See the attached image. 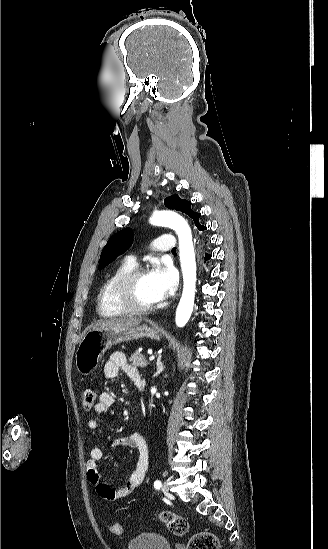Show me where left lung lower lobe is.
<instances>
[{"label": "left lung lower lobe", "mask_w": 328, "mask_h": 549, "mask_svg": "<svg viewBox=\"0 0 328 549\" xmlns=\"http://www.w3.org/2000/svg\"><path fill=\"white\" fill-rule=\"evenodd\" d=\"M210 257H211V255H209V254H207V253L205 254V260L210 259Z\"/></svg>", "instance_id": "1"}]
</instances>
